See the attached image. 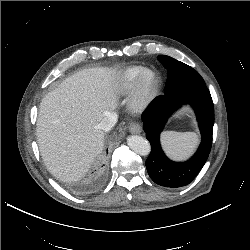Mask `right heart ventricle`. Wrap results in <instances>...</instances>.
I'll use <instances>...</instances> for the list:
<instances>
[{"mask_svg": "<svg viewBox=\"0 0 250 250\" xmlns=\"http://www.w3.org/2000/svg\"><path fill=\"white\" fill-rule=\"evenodd\" d=\"M144 70L145 68L142 66H129L125 68L120 72L115 81V89L120 93L129 91Z\"/></svg>", "mask_w": 250, "mask_h": 250, "instance_id": "obj_1", "label": "right heart ventricle"}]
</instances>
